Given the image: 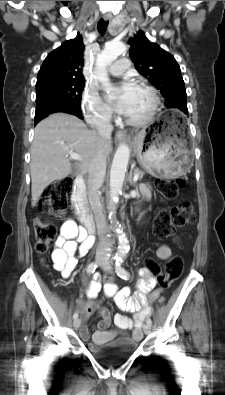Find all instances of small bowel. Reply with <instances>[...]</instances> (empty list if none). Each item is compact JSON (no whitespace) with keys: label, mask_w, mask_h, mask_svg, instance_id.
Returning <instances> with one entry per match:
<instances>
[{"label":"small bowel","mask_w":225,"mask_h":395,"mask_svg":"<svg viewBox=\"0 0 225 395\" xmlns=\"http://www.w3.org/2000/svg\"><path fill=\"white\" fill-rule=\"evenodd\" d=\"M141 191L144 196H150V190L147 186H142ZM94 244V237L88 232L79 228L71 220L65 221L60 230V236L56 241V247L52 253V260L56 270L60 271L64 277H69L77 266L78 258L85 256ZM171 256V250L163 244L157 249V257L161 260L168 259ZM141 280L138 285V293L131 296L128 288L120 289L119 283L104 284L103 289L108 296H114L117 306L124 311L134 312V319L126 315L118 314L114 318L117 328L109 329L111 324L110 314L106 310L100 312L101 320L98 323L97 330L92 336L96 345H102L118 337L120 330H131L130 337L134 340H140L142 337L141 325L146 316L150 314V308L147 306L146 294L156 285L155 275L150 272L139 271ZM120 289V290H119ZM101 290L99 275L95 274L94 279L87 288V297L89 302L86 305L79 304L78 309L83 321H87L97 306L96 298ZM160 296V290L157 289L151 293V299H157ZM80 335L84 340H89L88 328L83 325Z\"/></svg>","instance_id":"c3829d8e"}]
</instances>
